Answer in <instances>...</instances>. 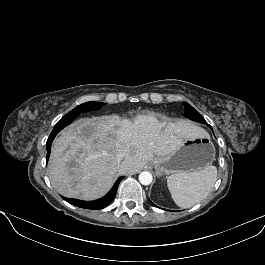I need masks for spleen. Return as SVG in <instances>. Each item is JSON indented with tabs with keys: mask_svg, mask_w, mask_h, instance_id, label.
<instances>
[{
	"mask_svg": "<svg viewBox=\"0 0 265 265\" xmlns=\"http://www.w3.org/2000/svg\"><path fill=\"white\" fill-rule=\"evenodd\" d=\"M217 179V168L209 165L202 170L172 174L167 177V186L174 202L189 208L204 199Z\"/></svg>",
	"mask_w": 265,
	"mask_h": 265,
	"instance_id": "spleen-1",
	"label": "spleen"
}]
</instances>
